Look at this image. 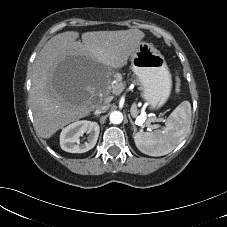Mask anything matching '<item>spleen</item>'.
<instances>
[{"mask_svg": "<svg viewBox=\"0 0 227 227\" xmlns=\"http://www.w3.org/2000/svg\"><path fill=\"white\" fill-rule=\"evenodd\" d=\"M191 124V104L181 102L169 115L165 126L152 132L134 133L136 147L149 156H163L174 150L186 137Z\"/></svg>", "mask_w": 227, "mask_h": 227, "instance_id": "obj_1", "label": "spleen"}]
</instances>
